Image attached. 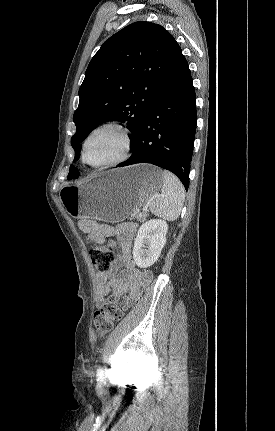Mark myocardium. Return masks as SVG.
I'll list each match as a JSON object with an SVG mask.
<instances>
[{
    "mask_svg": "<svg viewBox=\"0 0 275 431\" xmlns=\"http://www.w3.org/2000/svg\"><path fill=\"white\" fill-rule=\"evenodd\" d=\"M108 129L118 132L119 135L121 136V139H122L121 152L116 158L110 161L100 163V164H92L86 158L87 145L94 135H96L100 131L108 130ZM131 148H132V140H131V136L128 128L119 121H115V120L107 121L93 128L86 136L82 144L81 159L83 163H85L86 165L94 169L110 168L125 162L130 156Z\"/></svg>",
    "mask_w": 275,
    "mask_h": 431,
    "instance_id": "f54148a6",
    "label": "myocardium"
}]
</instances>
